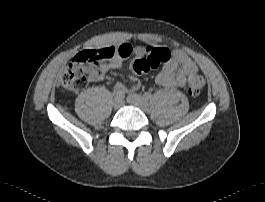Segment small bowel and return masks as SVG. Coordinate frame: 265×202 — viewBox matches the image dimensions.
Returning a JSON list of instances; mask_svg holds the SVG:
<instances>
[{"instance_id":"small-bowel-1","label":"small bowel","mask_w":265,"mask_h":202,"mask_svg":"<svg viewBox=\"0 0 265 202\" xmlns=\"http://www.w3.org/2000/svg\"><path fill=\"white\" fill-rule=\"evenodd\" d=\"M110 48L114 52L112 58L107 63L101 64L98 68L88 67L86 72L90 82H97L104 78V75L111 71L121 68L122 62L132 54H141L144 51L143 47H135L130 43H122L117 46L104 47ZM196 63L184 51L174 50L171 59L164 64L157 75V83L163 87H184L187 83L188 76L197 72ZM115 89L125 91V86L118 82L114 85ZM140 83L135 81L133 90H138Z\"/></svg>"}]
</instances>
